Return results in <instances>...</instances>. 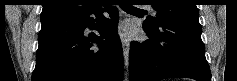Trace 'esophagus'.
<instances>
[{
	"instance_id": "esophagus-1",
	"label": "esophagus",
	"mask_w": 237,
	"mask_h": 81,
	"mask_svg": "<svg viewBox=\"0 0 237 81\" xmlns=\"http://www.w3.org/2000/svg\"><path fill=\"white\" fill-rule=\"evenodd\" d=\"M121 43H122V48H123V55H124L125 65L128 66L130 41L128 39L122 38Z\"/></svg>"
}]
</instances>
